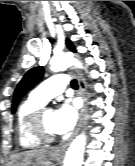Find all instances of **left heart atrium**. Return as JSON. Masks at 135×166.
<instances>
[{
	"mask_svg": "<svg viewBox=\"0 0 135 166\" xmlns=\"http://www.w3.org/2000/svg\"><path fill=\"white\" fill-rule=\"evenodd\" d=\"M78 119L77 107L72 102H64L55 112L53 130L56 134L66 135L76 125Z\"/></svg>",
	"mask_w": 135,
	"mask_h": 166,
	"instance_id": "1",
	"label": "left heart atrium"
}]
</instances>
